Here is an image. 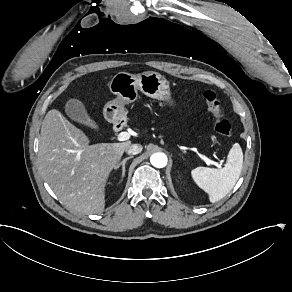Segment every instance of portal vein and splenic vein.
Returning <instances> with one entry per match:
<instances>
[{
  "label": "portal vein and splenic vein",
  "mask_w": 292,
  "mask_h": 292,
  "mask_svg": "<svg viewBox=\"0 0 292 292\" xmlns=\"http://www.w3.org/2000/svg\"><path fill=\"white\" fill-rule=\"evenodd\" d=\"M129 139V134L127 133V132H121V133H119L118 134V136H117V141H126V140H128ZM206 164L208 165V166H212V163L209 161V160H206ZM218 167L219 168H222V166L221 165H218Z\"/></svg>",
  "instance_id": "1"
}]
</instances>
